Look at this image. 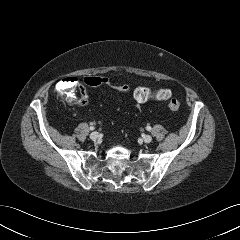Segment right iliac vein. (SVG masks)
I'll use <instances>...</instances> for the list:
<instances>
[{
	"mask_svg": "<svg viewBox=\"0 0 240 240\" xmlns=\"http://www.w3.org/2000/svg\"><path fill=\"white\" fill-rule=\"evenodd\" d=\"M98 138H99V133H98V132H92V133L90 134V139H91V140L95 141V140H97Z\"/></svg>",
	"mask_w": 240,
	"mask_h": 240,
	"instance_id": "1",
	"label": "right iliac vein"
}]
</instances>
